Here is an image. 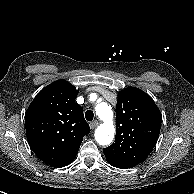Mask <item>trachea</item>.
<instances>
[{
	"instance_id": "1",
	"label": "trachea",
	"mask_w": 194,
	"mask_h": 194,
	"mask_svg": "<svg viewBox=\"0 0 194 194\" xmlns=\"http://www.w3.org/2000/svg\"><path fill=\"white\" fill-rule=\"evenodd\" d=\"M85 118H86L87 121H92L93 118H94V113H93V111L87 110V111L85 112Z\"/></svg>"
}]
</instances>
